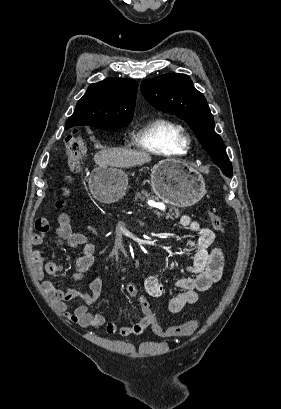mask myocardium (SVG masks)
I'll return each mask as SVG.
<instances>
[{
  "label": "myocardium",
  "instance_id": "1",
  "mask_svg": "<svg viewBox=\"0 0 281 409\" xmlns=\"http://www.w3.org/2000/svg\"><path fill=\"white\" fill-rule=\"evenodd\" d=\"M183 145H184L185 148H187L188 145H189V140H188V138L185 137V136H184V138H183Z\"/></svg>",
  "mask_w": 281,
  "mask_h": 409
}]
</instances>
